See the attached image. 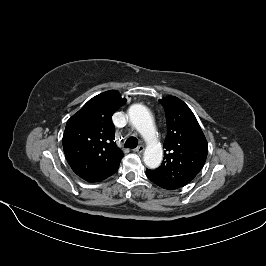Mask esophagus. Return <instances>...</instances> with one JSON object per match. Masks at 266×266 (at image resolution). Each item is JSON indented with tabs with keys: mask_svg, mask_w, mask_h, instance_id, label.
<instances>
[{
	"mask_svg": "<svg viewBox=\"0 0 266 266\" xmlns=\"http://www.w3.org/2000/svg\"><path fill=\"white\" fill-rule=\"evenodd\" d=\"M134 151L137 152V153H142L144 151V146L140 145L136 149H134Z\"/></svg>",
	"mask_w": 266,
	"mask_h": 266,
	"instance_id": "esophagus-1",
	"label": "esophagus"
}]
</instances>
